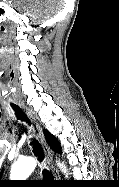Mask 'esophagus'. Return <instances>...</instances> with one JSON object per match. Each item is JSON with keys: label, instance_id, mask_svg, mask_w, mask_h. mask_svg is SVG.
I'll use <instances>...</instances> for the list:
<instances>
[{"label": "esophagus", "instance_id": "esophagus-1", "mask_svg": "<svg viewBox=\"0 0 119 187\" xmlns=\"http://www.w3.org/2000/svg\"><path fill=\"white\" fill-rule=\"evenodd\" d=\"M26 114H27L32 120L35 121V119H34L32 113H31V111H29L28 109H26ZM36 127H37V130H38V132H39V138H40V142H41L43 151H44V153H45V155H46V163L50 165L51 170H52V172H53V175H54V177L57 179V178H59V173H58L57 169H56V168L52 165V163H51V160H52V152H51V150H50V147L48 146V144H47V142H46V140H45V138H44V135H43V133H42V130H41L40 126H39L37 123H36Z\"/></svg>", "mask_w": 119, "mask_h": 187}]
</instances>
